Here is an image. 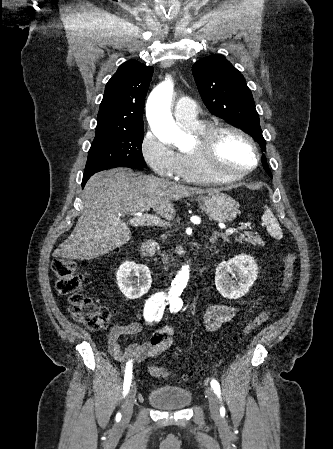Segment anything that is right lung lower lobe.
I'll list each match as a JSON object with an SVG mask.
<instances>
[{
    "instance_id": "right-lung-lower-lobe-1",
    "label": "right lung lower lobe",
    "mask_w": 333,
    "mask_h": 449,
    "mask_svg": "<svg viewBox=\"0 0 333 449\" xmlns=\"http://www.w3.org/2000/svg\"><path fill=\"white\" fill-rule=\"evenodd\" d=\"M92 173H85L83 176V181H82V188L84 187L85 183L87 182V180L92 176Z\"/></svg>"
}]
</instances>
